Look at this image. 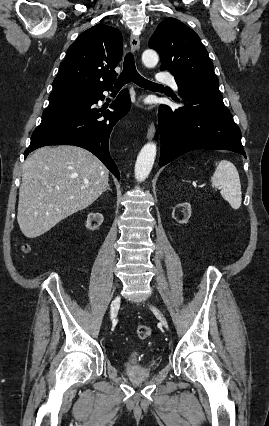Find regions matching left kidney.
<instances>
[{
	"instance_id": "5707ae66",
	"label": "left kidney",
	"mask_w": 269,
	"mask_h": 426,
	"mask_svg": "<svg viewBox=\"0 0 269 426\" xmlns=\"http://www.w3.org/2000/svg\"><path fill=\"white\" fill-rule=\"evenodd\" d=\"M180 208H183V212H185V213H184L185 219H182V217H181V216H178V217H177V216L175 215L176 210H177V209H180ZM172 216H173V218H174V219H177V220L179 221V223H187V222H188V219H189V218H190V216H191V205H190V203H188V202H184V203H181V204H177V205L173 208Z\"/></svg>"
}]
</instances>
